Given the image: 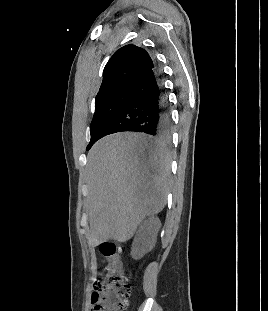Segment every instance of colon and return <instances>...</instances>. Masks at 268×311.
Listing matches in <instances>:
<instances>
[{
	"label": "colon",
	"mask_w": 268,
	"mask_h": 311,
	"mask_svg": "<svg viewBox=\"0 0 268 311\" xmlns=\"http://www.w3.org/2000/svg\"><path fill=\"white\" fill-rule=\"evenodd\" d=\"M105 262V274L94 287L91 311H124L128 306L130 286L121 258V251L104 243L100 247Z\"/></svg>",
	"instance_id": "colon-1"
}]
</instances>
